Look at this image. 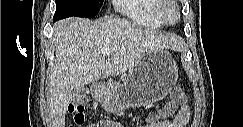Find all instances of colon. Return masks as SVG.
<instances>
[{"label": "colon", "instance_id": "1", "mask_svg": "<svg viewBox=\"0 0 243 127\" xmlns=\"http://www.w3.org/2000/svg\"><path fill=\"white\" fill-rule=\"evenodd\" d=\"M172 99L177 104L185 103V95L179 87H175L172 91ZM85 110L86 107L83 103L71 104L68 111L72 117L73 125L71 126H82L85 122Z\"/></svg>", "mask_w": 243, "mask_h": 127}]
</instances>
